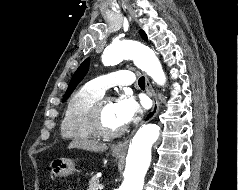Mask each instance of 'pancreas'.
Returning <instances> with one entry per match:
<instances>
[{
	"mask_svg": "<svg viewBox=\"0 0 238 190\" xmlns=\"http://www.w3.org/2000/svg\"><path fill=\"white\" fill-rule=\"evenodd\" d=\"M99 186H100V180L98 177L94 176L89 181V186L87 190H100Z\"/></svg>",
	"mask_w": 238,
	"mask_h": 190,
	"instance_id": "cf45deb5",
	"label": "pancreas"
}]
</instances>
